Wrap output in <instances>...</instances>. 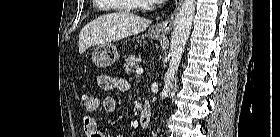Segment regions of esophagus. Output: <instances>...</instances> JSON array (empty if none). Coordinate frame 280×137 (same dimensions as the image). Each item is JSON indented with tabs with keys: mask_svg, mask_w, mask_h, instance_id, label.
Masks as SVG:
<instances>
[{
	"mask_svg": "<svg viewBox=\"0 0 280 137\" xmlns=\"http://www.w3.org/2000/svg\"><path fill=\"white\" fill-rule=\"evenodd\" d=\"M182 0H175V8L169 19L159 22L153 26V31L159 34H166L172 28L177 17Z\"/></svg>",
	"mask_w": 280,
	"mask_h": 137,
	"instance_id": "1",
	"label": "esophagus"
}]
</instances>
